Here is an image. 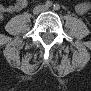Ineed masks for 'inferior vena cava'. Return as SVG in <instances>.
<instances>
[{"label": "inferior vena cava", "mask_w": 91, "mask_h": 91, "mask_svg": "<svg viewBox=\"0 0 91 91\" xmlns=\"http://www.w3.org/2000/svg\"><path fill=\"white\" fill-rule=\"evenodd\" d=\"M43 10H45L44 8H41L39 11H43Z\"/></svg>", "instance_id": "602c4592"}]
</instances>
